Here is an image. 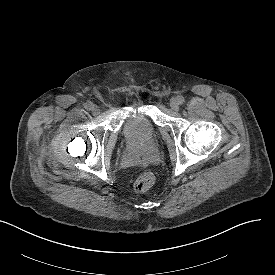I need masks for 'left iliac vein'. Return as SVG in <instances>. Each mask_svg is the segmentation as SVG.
<instances>
[{"mask_svg": "<svg viewBox=\"0 0 275 275\" xmlns=\"http://www.w3.org/2000/svg\"><path fill=\"white\" fill-rule=\"evenodd\" d=\"M179 102L177 100V98H172L170 100V106L174 111H178L179 110Z\"/></svg>", "mask_w": 275, "mask_h": 275, "instance_id": "left-iliac-vein-1", "label": "left iliac vein"}]
</instances>
